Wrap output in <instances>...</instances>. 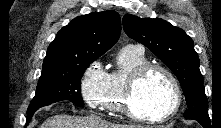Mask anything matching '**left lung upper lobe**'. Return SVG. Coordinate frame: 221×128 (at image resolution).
<instances>
[{
    "instance_id": "5c2ea615",
    "label": "left lung upper lobe",
    "mask_w": 221,
    "mask_h": 128,
    "mask_svg": "<svg viewBox=\"0 0 221 128\" xmlns=\"http://www.w3.org/2000/svg\"><path fill=\"white\" fill-rule=\"evenodd\" d=\"M122 22L125 33L148 47L180 81L188 105L184 117L210 121L199 58L192 39L163 19L126 14Z\"/></svg>"
}]
</instances>
